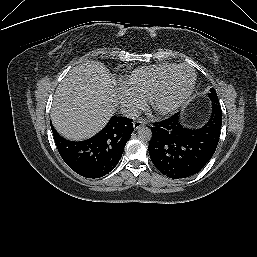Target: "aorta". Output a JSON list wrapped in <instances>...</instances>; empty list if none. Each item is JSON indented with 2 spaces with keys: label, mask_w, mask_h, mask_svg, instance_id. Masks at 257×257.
<instances>
[{
  "label": "aorta",
  "mask_w": 257,
  "mask_h": 257,
  "mask_svg": "<svg viewBox=\"0 0 257 257\" xmlns=\"http://www.w3.org/2000/svg\"><path fill=\"white\" fill-rule=\"evenodd\" d=\"M138 137L143 141H150L152 138V131L146 126L138 128Z\"/></svg>",
  "instance_id": "obj_1"
}]
</instances>
